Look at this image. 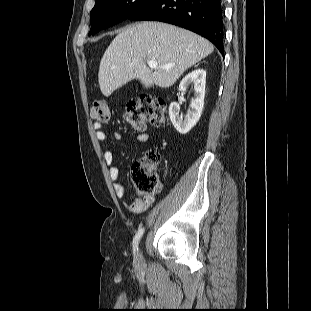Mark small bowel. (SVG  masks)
Returning <instances> with one entry per match:
<instances>
[{
    "label": "small bowel",
    "instance_id": "small-bowel-1",
    "mask_svg": "<svg viewBox=\"0 0 311 311\" xmlns=\"http://www.w3.org/2000/svg\"><path fill=\"white\" fill-rule=\"evenodd\" d=\"M93 129L95 137L98 141L102 142L106 139V134L102 130V125L98 122L93 123ZM114 139L116 141L122 140V134L120 132L114 133ZM149 136L146 133H139L136 135V140L139 143H146ZM103 159L108 168V173L111 181L114 185V190L117 197L122 198L125 195V188L119 181V168L114 164L113 153L109 149L103 151ZM154 202L153 196L136 197L131 203L125 204L127 209L134 214H141L145 212Z\"/></svg>",
    "mask_w": 311,
    "mask_h": 311
}]
</instances>
